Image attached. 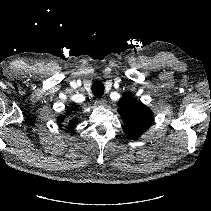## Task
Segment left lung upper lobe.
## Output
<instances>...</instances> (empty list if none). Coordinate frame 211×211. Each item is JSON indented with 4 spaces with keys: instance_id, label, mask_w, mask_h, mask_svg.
I'll return each mask as SVG.
<instances>
[{
    "instance_id": "5c2ea615",
    "label": "left lung upper lobe",
    "mask_w": 211,
    "mask_h": 211,
    "mask_svg": "<svg viewBox=\"0 0 211 211\" xmlns=\"http://www.w3.org/2000/svg\"><path fill=\"white\" fill-rule=\"evenodd\" d=\"M118 105V112L124 122V133L128 138H139L153 123V112L133 96L123 95Z\"/></svg>"
}]
</instances>
